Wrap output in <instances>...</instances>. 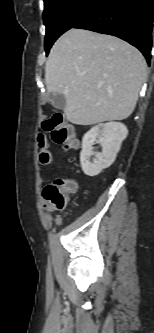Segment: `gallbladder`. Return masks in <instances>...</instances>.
Returning a JSON list of instances; mask_svg holds the SVG:
<instances>
[{
	"mask_svg": "<svg viewBox=\"0 0 154 333\" xmlns=\"http://www.w3.org/2000/svg\"><path fill=\"white\" fill-rule=\"evenodd\" d=\"M51 104L57 109H63L66 105V98L59 93L53 94L51 97Z\"/></svg>",
	"mask_w": 154,
	"mask_h": 333,
	"instance_id": "bac80fb5",
	"label": "gallbladder"
}]
</instances>
